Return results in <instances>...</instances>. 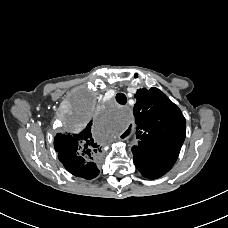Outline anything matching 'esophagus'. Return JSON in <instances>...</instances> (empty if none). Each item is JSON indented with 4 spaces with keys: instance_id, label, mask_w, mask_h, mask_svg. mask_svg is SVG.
Masks as SVG:
<instances>
[{
    "instance_id": "obj_1",
    "label": "esophagus",
    "mask_w": 228,
    "mask_h": 228,
    "mask_svg": "<svg viewBox=\"0 0 228 228\" xmlns=\"http://www.w3.org/2000/svg\"><path fill=\"white\" fill-rule=\"evenodd\" d=\"M129 137L128 132L123 131L118 135L119 140H126Z\"/></svg>"
}]
</instances>
